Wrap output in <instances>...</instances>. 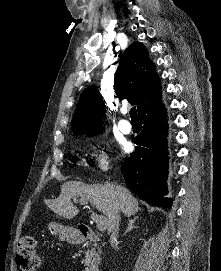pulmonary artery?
<instances>
[{
	"instance_id": "e3ab8cb5",
	"label": "pulmonary artery",
	"mask_w": 221,
	"mask_h": 271,
	"mask_svg": "<svg viewBox=\"0 0 221 271\" xmlns=\"http://www.w3.org/2000/svg\"><path fill=\"white\" fill-rule=\"evenodd\" d=\"M128 123L126 121H118L117 125L119 126V128L122 130V132L124 134H129L131 132V128H126L124 126H126Z\"/></svg>"
}]
</instances>
